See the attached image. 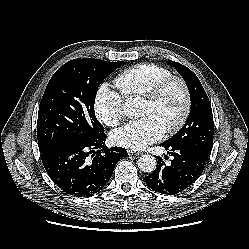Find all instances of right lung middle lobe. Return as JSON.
<instances>
[{"label":"right lung middle lobe","instance_id":"dd1d6c3e","mask_svg":"<svg viewBox=\"0 0 249 249\" xmlns=\"http://www.w3.org/2000/svg\"><path fill=\"white\" fill-rule=\"evenodd\" d=\"M125 62L75 59L60 67L43 94L37 121L41 152L70 141H85L104 133L94 112L98 86Z\"/></svg>","mask_w":249,"mask_h":249}]
</instances>
